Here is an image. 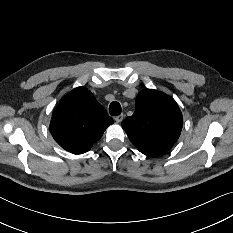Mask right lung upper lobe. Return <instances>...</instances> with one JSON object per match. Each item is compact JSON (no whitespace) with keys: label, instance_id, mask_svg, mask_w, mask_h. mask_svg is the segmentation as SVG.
I'll list each match as a JSON object with an SVG mask.
<instances>
[{"label":"right lung upper lobe","instance_id":"1","mask_svg":"<svg viewBox=\"0 0 233 233\" xmlns=\"http://www.w3.org/2000/svg\"><path fill=\"white\" fill-rule=\"evenodd\" d=\"M113 123L106 110L85 87L63 97L52 114L50 130L55 141L73 154L89 151Z\"/></svg>","mask_w":233,"mask_h":233}]
</instances>
